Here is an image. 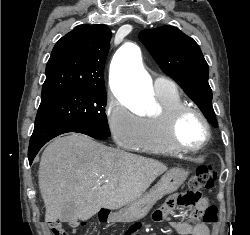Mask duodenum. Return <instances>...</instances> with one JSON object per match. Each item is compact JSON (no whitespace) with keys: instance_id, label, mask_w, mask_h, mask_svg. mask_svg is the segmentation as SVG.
<instances>
[{"instance_id":"obj_1","label":"duodenum","mask_w":250,"mask_h":235,"mask_svg":"<svg viewBox=\"0 0 250 235\" xmlns=\"http://www.w3.org/2000/svg\"><path fill=\"white\" fill-rule=\"evenodd\" d=\"M106 220V217L102 218V221L104 222Z\"/></svg>"}]
</instances>
